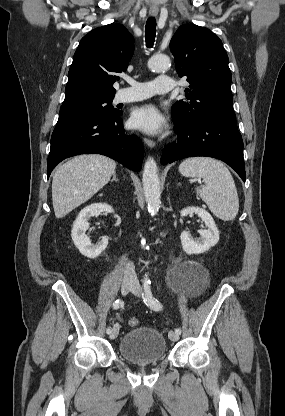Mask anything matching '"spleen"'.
<instances>
[{"instance_id":"3e777b00","label":"spleen","mask_w":285,"mask_h":416,"mask_svg":"<svg viewBox=\"0 0 285 416\" xmlns=\"http://www.w3.org/2000/svg\"><path fill=\"white\" fill-rule=\"evenodd\" d=\"M185 178H203L204 188L196 194L207 204L210 212L224 220H235L239 212V198L235 182L226 166L213 158H187L179 166Z\"/></svg>"}]
</instances>
